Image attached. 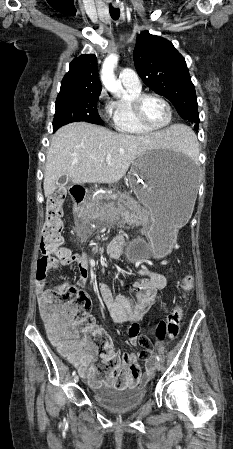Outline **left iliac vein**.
<instances>
[{
  "label": "left iliac vein",
  "mask_w": 233,
  "mask_h": 449,
  "mask_svg": "<svg viewBox=\"0 0 233 449\" xmlns=\"http://www.w3.org/2000/svg\"><path fill=\"white\" fill-rule=\"evenodd\" d=\"M155 369H156L157 371H160V370L162 369V365L160 364L159 361H157V362L155 363Z\"/></svg>",
  "instance_id": "4c4485c4"
}]
</instances>
